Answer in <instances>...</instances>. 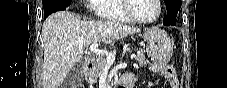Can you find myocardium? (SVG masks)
I'll return each instance as SVG.
<instances>
[{
	"label": "myocardium",
	"mask_w": 227,
	"mask_h": 88,
	"mask_svg": "<svg viewBox=\"0 0 227 88\" xmlns=\"http://www.w3.org/2000/svg\"><path fill=\"white\" fill-rule=\"evenodd\" d=\"M134 0H125L124 4H123V9L125 14L128 16V18L133 22V23H137V24H152L155 23L161 16L162 14V7H161V1L160 0H154L157 8H158V13L156 15V17H154L153 19H149V20H144V19H139L137 17H135V15L132 12V2Z\"/></svg>",
	"instance_id": "obj_1"
}]
</instances>
